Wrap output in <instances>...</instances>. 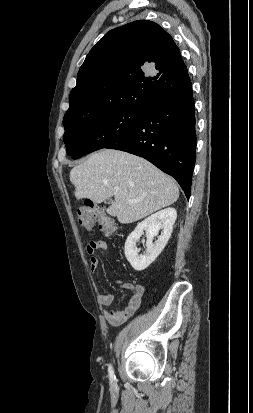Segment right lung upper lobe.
Segmentation results:
<instances>
[{"label":"right lung upper lobe","mask_w":253,"mask_h":413,"mask_svg":"<svg viewBox=\"0 0 253 413\" xmlns=\"http://www.w3.org/2000/svg\"><path fill=\"white\" fill-rule=\"evenodd\" d=\"M149 64L158 71L152 77L146 76ZM190 84L172 37L154 22L134 21L109 31L91 49L63 123L114 109L143 110Z\"/></svg>","instance_id":"cb5924a9"}]
</instances>
